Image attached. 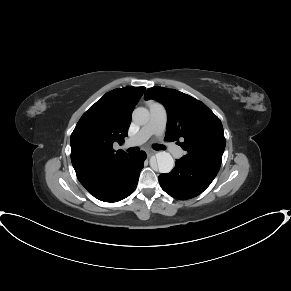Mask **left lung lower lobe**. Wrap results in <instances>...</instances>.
Listing matches in <instances>:
<instances>
[{
	"label": "left lung lower lobe",
	"mask_w": 291,
	"mask_h": 291,
	"mask_svg": "<svg viewBox=\"0 0 291 291\" xmlns=\"http://www.w3.org/2000/svg\"><path fill=\"white\" fill-rule=\"evenodd\" d=\"M168 174L159 176L161 188L170 196L186 200L201 194L213 181L219 168L210 164L181 158Z\"/></svg>",
	"instance_id": "left-lung-lower-lobe-1"
}]
</instances>
